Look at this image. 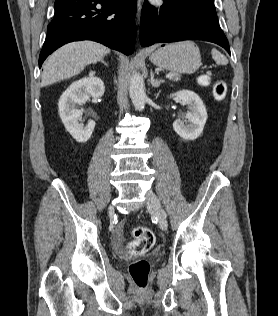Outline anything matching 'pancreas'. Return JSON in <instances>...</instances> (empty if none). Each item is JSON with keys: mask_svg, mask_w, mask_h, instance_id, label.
Listing matches in <instances>:
<instances>
[{"mask_svg": "<svg viewBox=\"0 0 278 316\" xmlns=\"http://www.w3.org/2000/svg\"><path fill=\"white\" fill-rule=\"evenodd\" d=\"M173 81L177 82L180 80V75L179 74H174V77L172 78Z\"/></svg>", "mask_w": 278, "mask_h": 316, "instance_id": "1", "label": "pancreas"}]
</instances>
